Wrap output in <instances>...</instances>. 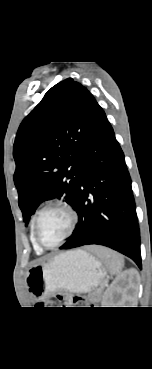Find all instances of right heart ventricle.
Here are the masks:
<instances>
[{
  "label": "right heart ventricle",
  "instance_id": "obj_1",
  "mask_svg": "<svg viewBox=\"0 0 152 369\" xmlns=\"http://www.w3.org/2000/svg\"><path fill=\"white\" fill-rule=\"evenodd\" d=\"M31 241H32V244H33V246H34V248H35V250L37 251V252H41L42 251V249L36 244V242H35V240H34V237H33V229H32V232H31Z\"/></svg>",
  "mask_w": 152,
  "mask_h": 369
}]
</instances>
